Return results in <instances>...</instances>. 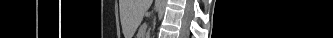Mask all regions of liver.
Returning <instances> with one entry per match:
<instances>
[{
    "label": "liver",
    "mask_w": 333,
    "mask_h": 38,
    "mask_svg": "<svg viewBox=\"0 0 333 38\" xmlns=\"http://www.w3.org/2000/svg\"><path fill=\"white\" fill-rule=\"evenodd\" d=\"M153 0H135L133 2V23L135 27L141 22L144 13L148 10Z\"/></svg>",
    "instance_id": "liver-1"
}]
</instances>
